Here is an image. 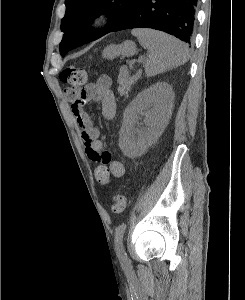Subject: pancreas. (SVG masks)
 Listing matches in <instances>:
<instances>
[{
  "instance_id": "obj_1",
  "label": "pancreas",
  "mask_w": 245,
  "mask_h": 300,
  "mask_svg": "<svg viewBox=\"0 0 245 300\" xmlns=\"http://www.w3.org/2000/svg\"><path fill=\"white\" fill-rule=\"evenodd\" d=\"M135 81V77H131L126 68L120 70L118 82V92L121 96H124L128 93L131 84Z\"/></svg>"
}]
</instances>
